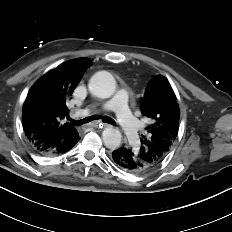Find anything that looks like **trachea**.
Segmentation results:
<instances>
[{"label":"trachea","instance_id":"3493384b","mask_svg":"<svg viewBox=\"0 0 232 232\" xmlns=\"http://www.w3.org/2000/svg\"><path fill=\"white\" fill-rule=\"evenodd\" d=\"M98 117L97 116H91V117H86L84 119H81L79 121H76V120H73V119H70V122L75 125V126H81L85 123H89L93 120H96ZM103 122L105 123H108V124H111V125H116L115 121L111 118V117H103Z\"/></svg>","mask_w":232,"mask_h":232}]
</instances>
